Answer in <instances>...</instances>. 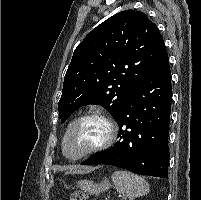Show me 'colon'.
I'll use <instances>...</instances> for the list:
<instances>
[{"mask_svg":"<svg viewBox=\"0 0 201 200\" xmlns=\"http://www.w3.org/2000/svg\"><path fill=\"white\" fill-rule=\"evenodd\" d=\"M70 200H87V195L81 191H75L71 194Z\"/></svg>","mask_w":201,"mask_h":200,"instance_id":"colon-1","label":"colon"}]
</instances>
